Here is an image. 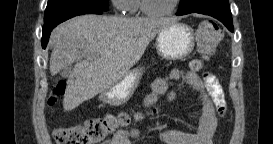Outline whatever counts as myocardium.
<instances>
[{"label":"myocardium","instance_id":"myocardium-1","mask_svg":"<svg viewBox=\"0 0 273 144\" xmlns=\"http://www.w3.org/2000/svg\"><path fill=\"white\" fill-rule=\"evenodd\" d=\"M179 2L180 0H174L171 7L167 10H154L149 7L148 0H140V9L149 16H165L173 13L179 5Z\"/></svg>","mask_w":273,"mask_h":144}]
</instances>
